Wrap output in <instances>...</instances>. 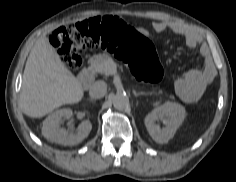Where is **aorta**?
<instances>
[{"instance_id":"1","label":"aorta","mask_w":236,"mask_h":182,"mask_svg":"<svg viewBox=\"0 0 236 182\" xmlns=\"http://www.w3.org/2000/svg\"><path fill=\"white\" fill-rule=\"evenodd\" d=\"M129 104V98L126 94L123 93H117L113 97V105L118 110L125 109Z\"/></svg>"}]
</instances>
